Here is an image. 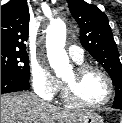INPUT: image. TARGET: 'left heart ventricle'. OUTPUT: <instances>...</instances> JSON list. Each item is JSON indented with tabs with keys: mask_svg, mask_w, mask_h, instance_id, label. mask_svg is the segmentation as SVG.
Wrapping results in <instances>:
<instances>
[{
	"mask_svg": "<svg viewBox=\"0 0 122 123\" xmlns=\"http://www.w3.org/2000/svg\"><path fill=\"white\" fill-rule=\"evenodd\" d=\"M74 78V71H71L64 77V80L73 82ZM76 91L82 100L90 103H99L107 98L109 86L100 73L89 71L78 82Z\"/></svg>",
	"mask_w": 122,
	"mask_h": 123,
	"instance_id": "1",
	"label": "left heart ventricle"
}]
</instances>
